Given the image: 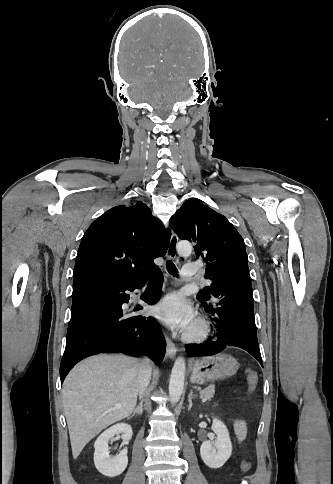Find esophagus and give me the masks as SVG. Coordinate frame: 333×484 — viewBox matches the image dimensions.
Wrapping results in <instances>:
<instances>
[{
    "instance_id": "34e87169",
    "label": "esophagus",
    "mask_w": 333,
    "mask_h": 484,
    "mask_svg": "<svg viewBox=\"0 0 333 484\" xmlns=\"http://www.w3.org/2000/svg\"><path fill=\"white\" fill-rule=\"evenodd\" d=\"M177 242H178L177 235L175 233H172L169 246L167 249V256L170 259H177V250H176ZM166 353L170 359H174L177 353V348L169 337H166Z\"/></svg>"
}]
</instances>
